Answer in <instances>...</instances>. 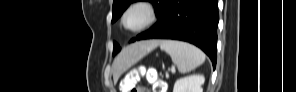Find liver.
Returning a JSON list of instances; mask_svg holds the SVG:
<instances>
[{
    "label": "liver",
    "mask_w": 296,
    "mask_h": 92,
    "mask_svg": "<svg viewBox=\"0 0 296 92\" xmlns=\"http://www.w3.org/2000/svg\"><path fill=\"white\" fill-rule=\"evenodd\" d=\"M160 44L158 40L141 41L124 48L113 62V79L116 82L121 74L138 62Z\"/></svg>",
    "instance_id": "obj_1"
}]
</instances>
